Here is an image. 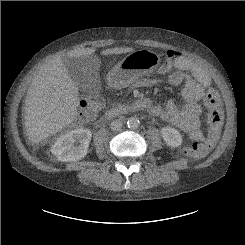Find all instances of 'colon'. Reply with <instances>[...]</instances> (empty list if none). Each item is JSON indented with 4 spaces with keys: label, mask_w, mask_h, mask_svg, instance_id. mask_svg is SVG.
Instances as JSON below:
<instances>
[{
    "label": "colon",
    "mask_w": 245,
    "mask_h": 245,
    "mask_svg": "<svg viewBox=\"0 0 245 245\" xmlns=\"http://www.w3.org/2000/svg\"><path fill=\"white\" fill-rule=\"evenodd\" d=\"M179 57H181V54L179 52H167V58L169 61H174ZM102 103L103 98L101 95L97 93L87 94L83 98V101L81 103V109L75 122L76 126L80 127L86 125L91 120H93L97 112L99 111ZM205 103L207 107L211 110L209 118L211 131L205 138L197 140L189 146L179 148L178 153L182 157L200 159L206 156L219 137L220 129L223 122V114L218 109L220 105V96L218 92L212 88L209 89L205 96Z\"/></svg>",
    "instance_id": "1"
}]
</instances>
